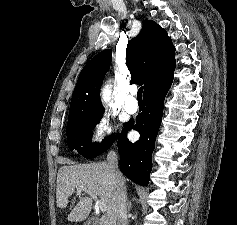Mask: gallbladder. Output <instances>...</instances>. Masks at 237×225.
Segmentation results:
<instances>
[{"mask_svg":"<svg viewBox=\"0 0 237 225\" xmlns=\"http://www.w3.org/2000/svg\"><path fill=\"white\" fill-rule=\"evenodd\" d=\"M85 225H98V219H89Z\"/></svg>","mask_w":237,"mask_h":225,"instance_id":"1","label":"gallbladder"}]
</instances>
